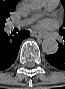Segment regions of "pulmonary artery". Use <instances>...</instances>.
<instances>
[{
  "mask_svg": "<svg viewBox=\"0 0 65 89\" xmlns=\"http://www.w3.org/2000/svg\"><path fill=\"white\" fill-rule=\"evenodd\" d=\"M57 6H58V1L57 0H46V1H44V7L48 11H51V10L55 9ZM30 22H31V19L12 20L9 23V26L11 28L20 27V26L26 25V24H28Z\"/></svg>",
  "mask_w": 65,
  "mask_h": 89,
  "instance_id": "1",
  "label": "pulmonary artery"
}]
</instances>
